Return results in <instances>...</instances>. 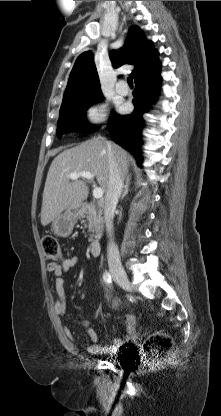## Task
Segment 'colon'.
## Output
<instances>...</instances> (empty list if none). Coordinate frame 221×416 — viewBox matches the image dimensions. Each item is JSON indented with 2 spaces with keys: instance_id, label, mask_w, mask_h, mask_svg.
<instances>
[{
  "instance_id": "obj_1",
  "label": "colon",
  "mask_w": 221,
  "mask_h": 416,
  "mask_svg": "<svg viewBox=\"0 0 221 416\" xmlns=\"http://www.w3.org/2000/svg\"><path fill=\"white\" fill-rule=\"evenodd\" d=\"M45 257L51 261H59L62 257L61 247L55 237L45 236L42 239ZM173 347L172 339L160 332L149 335L144 341V350L149 359L163 357Z\"/></svg>"
}]
</instances>
